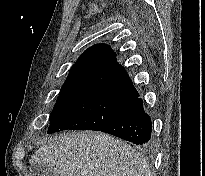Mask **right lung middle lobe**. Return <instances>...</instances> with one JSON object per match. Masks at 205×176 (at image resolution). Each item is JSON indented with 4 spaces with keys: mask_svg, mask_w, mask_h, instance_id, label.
<instances>
[{
    "mask_svg": "<svg viewBox=\"0 0 205 176\" xmlns=\"http://www.w3.org/2000/svg\"><path fill=\"white\" fill-rule=\"evenodd\" d=\"M131 100L103 93L59 96L49 117L48 134L62 130H97L109 125Z\"/></svg>",
    "mask_w": 205,
    "mask_h": 176,
    "instance_id": "right-lung-middle-lobe-1",
    "label": "right lung middle lobe"
}]
</instances>
